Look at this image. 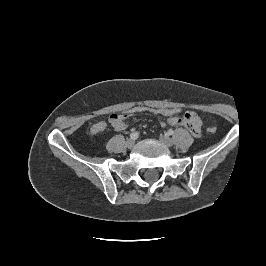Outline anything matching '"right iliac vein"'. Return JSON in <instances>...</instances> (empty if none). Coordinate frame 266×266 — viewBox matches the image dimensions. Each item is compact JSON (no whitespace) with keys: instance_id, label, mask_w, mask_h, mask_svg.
<instances>
[{"instance_id":"obj_1","label":"right iliac vein","mask_w":266,"mask_h":266,"mask_svg":"<svg viewBox=\"0 0 266 266\" xmlns=\"http://www.w3.org/2000/svg\"><path fill=\"white\" fill-rule=\"evenodd\" d=\"M134 144H135L134 139H128V140L126 141V146H127L128 148H132V147L134 146Z\"/></svg>"}]
</instances>
